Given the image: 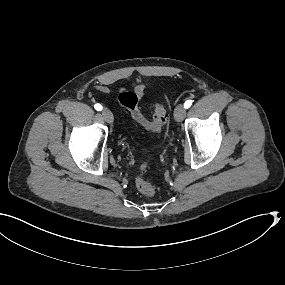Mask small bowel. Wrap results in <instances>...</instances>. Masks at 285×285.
Returning <instances> with one entry per match:
<instances>
[{"instance_id": "small-bowel-1", "label": "small bowel", "mask_w": 285, "mask_h": 285, "mask_svg": "<svg viewBox=\"0 0 285 285\" xmlns=\"http://www.w3.org/2000/svg\"><path fill=\"white\" fill-rule=\"evenodd\" d=\"M145 88H146V86L144 83H136L134 85V91L138 95V97H141L143 95ZM98 90L103 92V93L108 92V89L106 87H103V86L98 87Z\"/></svg>"}]
</instances>
